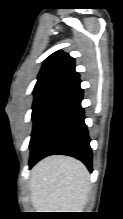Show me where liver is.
<instances>
[{"label": "liver", "instance_id": "liver-1", "mask_svg": "<svg viewBox=\"0 0 123 219\" xmlns=\"http://www.w3.org/2000/svg\"><path fill=\"white\" fill-rule=\"evenodd\" d=\"M31 204L38 212H82L89 194V172L79 160L53 155L31 171Z\"/></svg>", "mask_w": 123, "mask_h": 219}]
</instances>
